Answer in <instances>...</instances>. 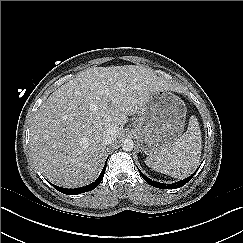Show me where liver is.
Wrapping results in <instances>:
<instances>
[{
    "instance_id": "liver-1",
    "label": "liver",
    "mask_w": 243,
    "mask_h": 243,
    "mask_svg": "<svg viewBox=\"0 0 243 243\" xmlns=\"http://www.w3.org/2000/svg\"><path fill=\"white\" fill-rule=\"evenodd\" d=\"M181 92L152 69L124 65L91 67L61 85L37 110L29 146L39 171L52 183L81 187L99 175L106 152L102 133L118 137L128 116L139 114L159 91Z\"/></svg>"
}]
</instances>
